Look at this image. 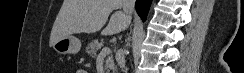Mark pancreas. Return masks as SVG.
I'll use <instances>...</instances> for the list:
<instances>
[{
  "instance_id": "pancreas-1",
  "label": "pancreas",
  "mask_w": 244,
  "mask_h": 73,
  "mask_svg": "<svg viewBox=\"0 0 244 73\" xmlns=\"http://www.w3.org/2000/svg\"><path fill=\"white\" fill-rule=\"evenodd\" d=\"M103 43L98 40H94L88 44L86 47V53L90 55L92 58L96 56V52L102 47ZM106 69L114 67L113 57L112 55L108 56L105 64Z\"/></svg>"
}]
</instances>
